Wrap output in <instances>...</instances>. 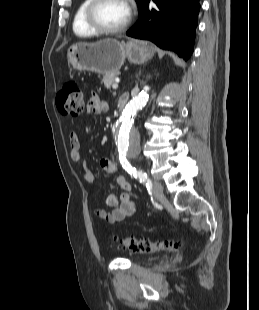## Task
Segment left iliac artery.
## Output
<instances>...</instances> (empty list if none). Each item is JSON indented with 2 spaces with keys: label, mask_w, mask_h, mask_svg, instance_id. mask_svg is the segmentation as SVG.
Returning a JSON list of instances; mask_svg holds the SVG:
<instances>
[{
  "label": "left iliac artery",
  "mask_w": 259,
  "mask_h": 310,
  "mask_svg": "<svg viewBox=\"0 0 259 310\" xmlns=\"http://www.w3.org/2000/svg\"><path fill=\"white\" fill-rule=\"evenodd\" d=\"M122 166L129 174L133 175L135 178H138L141 183H146L148 188L152 186L151 181L148 179L147 174L144 171L132 167L128 161L122 163Z\"/></svg>",
  "instance_id": "44dca946"
}]
</instances>
